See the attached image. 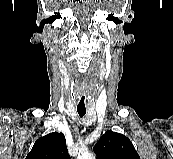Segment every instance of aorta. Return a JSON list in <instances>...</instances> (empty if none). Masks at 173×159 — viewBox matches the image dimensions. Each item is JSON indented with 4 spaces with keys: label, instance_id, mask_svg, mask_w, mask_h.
<instances>
[{
    "label": "aorta",
    "instance_id": "obj_1",
    "mask_svg": "<svg viewBox=\"0 0 173 159\" xmlns=\"http://www.w3.org/2000/svg\"><path fill=\"white\" fill-rule=\"evenodd\" d=\"M77 159H95V156L88 151H80Z\"/></svg>",
    "mask_w": 173,
    "mask_h": 159
}]
</instances>
